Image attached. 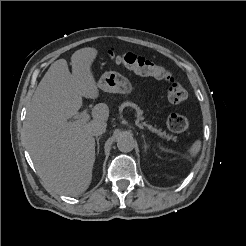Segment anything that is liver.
<instances>
[{
	"instance_id": "liver-1",
	"label": "liver",
	"mask_w": 246,
	"mask_h": 246,
	"mask_svg": "<svg viewBox=\"0 0 246 246\" xmlns=\"http://www.w3.org/2000/svg\"><path fill=\"white\" fill-rule=\"evenodd\" d=\"M98 51L82 48L71 56L72 74L65 59L55 61L36 88L24 124L27 150L42 181L59 193L77 196L89 187L95 162L92 127L106 124L109 108L92 109L88 123L69 121L82 106V97L97 99L91 71Z\"/></svg>"
}]
</instances>
